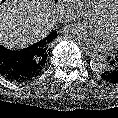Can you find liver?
Segmentation results:
<instances>
[{
  "mask_svg": "<svg viewBox=\"0 0 118 118\" xmlns=\"http://www.w3.org/2000/svg\"><path fill=\"white\" fill-rule=\"evenodd\" d=\"M53 0H6L0 6V44L21 49L45 38L54 28Z\"/></svg>",
  "mask_w": 118,
  "mask_h": 118,
  "instance_id": "obj_1",
  "label": "liver"
}]
</instances>
